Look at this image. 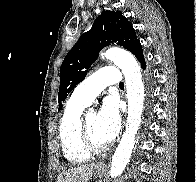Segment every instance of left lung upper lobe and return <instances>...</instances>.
<instances>
[{
    "label": "left lung upper lobe",
    "instance_id": "1",
    "mask_svg": "<svg viewBox=\"0 0 196 182\" xmlns=\"http://www.w3.org/2000/svg\"><path fill=\"white\" fill-rule=\"evenodd\" d=\"M110 43L123 46L138 60L143 57L140 41L127 18L120 11L102 12L91 29L81 35L61 65L59 111L67 95L85 78L91 64L98 58L100 50Z\"/></svg>",
    "mask_w": 196,
    "mask_h": 182
}]
</instances>
